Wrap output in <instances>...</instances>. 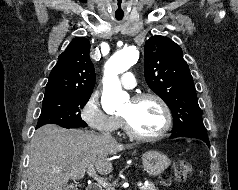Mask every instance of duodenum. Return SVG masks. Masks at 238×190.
Here are the masks:
<instances>
[{"mask_svg":"<svg viewBox=\"0 0 238 190\" xmlns=\"http://www.w3.org/2000/svg\"><path fill=\"white\" fill-rule=\"evenodd\" d=\"M87 190H102V189H101L100 185H98V184H91V185L87 188Z\"/></svg>","mask_w":238,"mask_h":190,"instance_id":"1","label":"duodenum"}]
</instances>
